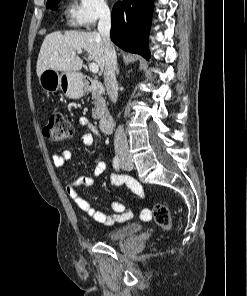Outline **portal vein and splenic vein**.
Instances as JSON below:
<instances>
[{
  "mask_svg": "<svg viewBox=\"0 0 247 296\" xmlns=\"http://www.w3.org/2000/svg\"><path fill=\"white\" fill-rule=\"evenodd\" d=\"M89 69L92 73H98L99 67L96 63H89Z\"/></svg>",
  "mask_w": 247,
  "mask_h": 296,
  "instance_id": "portal-vein-and-splenic-vein-1",
  "label": "portal vein and splenic vein"
}]
</instances>
